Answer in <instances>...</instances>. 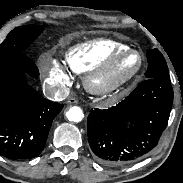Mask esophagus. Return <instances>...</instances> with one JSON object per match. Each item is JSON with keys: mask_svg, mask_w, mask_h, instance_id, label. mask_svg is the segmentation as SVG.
Returning <instances> with one entry per match:
<instances>
[{"mask_svg": "<svg viewBox=\"0 0 183 183\" xmlns=\"http://www.w3.org/2000/svg\"><path fill=\"white\" fill-rule=\"evenodd\" d=\"M67 103L68 104H78V100L76 98L71 97L67 100Z\"/></svg>", "mask_w": 183, "mask_h": 183, "instance_id": "obj_1", "label": "esophagus"}]
</instances>
